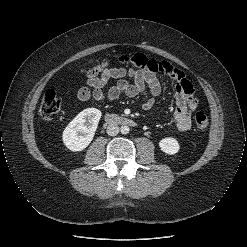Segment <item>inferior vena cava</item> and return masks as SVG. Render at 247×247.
I'll list each match as a JSON object with an SVG mask.
<instances>
[{
	"label": "inferior vena cava",
	"mask_w": 247,
	"mask_h": 247,
	"mask_svg": "<svg viewBox=\"0 0 247 247\" xmlns=\"http://www.w3.org/2000/svg\"><path fill=\"white\" fill-rule=\"evenodd\" d=\"M106 131L109 136H116L119 133V127L117 124H109Z\"/></svg>",
	"instance_id": "602c4592"
}]
</instances>
